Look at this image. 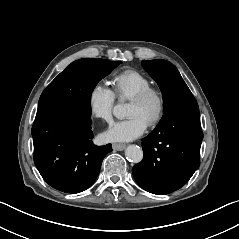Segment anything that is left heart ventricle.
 <instances>
[{
    "label": "left heart ventricle",
    "mask_w": 239,
    "mask_h": 239,
    "mask_svg": "<svg viewBox=\"0 0 239 239\" xmlns=\"http://www.w3.org/2000/svg\"><path fill=\"white\" fill-rule=\"evenodd\" d=\"M157 110V102L154 98L148 99L144 103L129 101L127 115L138 114L143 117L147 123L151 120Z\"/></svg>",
    "instance_id": "obj_1"
}]
</instances>
